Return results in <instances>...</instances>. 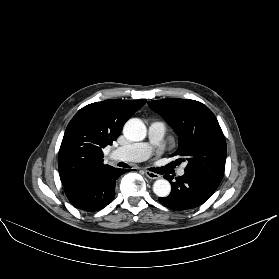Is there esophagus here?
Masks as SVG:
<instances>
[{"label":"esophagus","mask_w":279,"mask_h":279,"mask_svg":"<svg viewBox=\"0 0 279 279\" xmlns=\"http://www.w3.org/2000/svg\"><path fill=\"white\" fill-rule=\"evenodd\" d=\"M145 174L150 179H158L161 177L159 174L150 171H145Z\"/></svg>","instance_id":"1"}]
</instances>
